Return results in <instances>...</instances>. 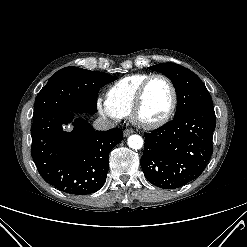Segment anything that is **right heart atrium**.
I'll list each match as a JSON object with an SVG mask.
<instances>
[{
	"label": "right heart atrium",
	"instance_id": "1",
	"mask_svg": "<svg viewBox=\"0 0 247 247\" xmlns=\"http://www.w3.org/2000/svg\"><path fill=\"white\" fill-rule=\"evenodd\" d=\"M97 107L103 115L109 118L116 120L121 118V116L109 105L106 99L99 98L97 100Z\"/></svg>",
	"mask_w": 247,
	"mask_h": 247
}]
</instances>
